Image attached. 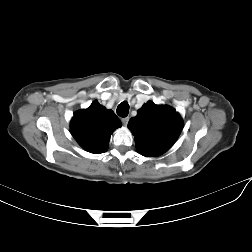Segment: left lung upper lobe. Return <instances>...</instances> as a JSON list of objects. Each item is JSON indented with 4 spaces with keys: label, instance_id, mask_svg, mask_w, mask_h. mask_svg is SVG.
I'll return each instance as SVG.
<instances>
[{
    "label": "left lung upper lobe",
    "instance_id": "left-lung-upper-lobe-1",
    "mask_svg": "<svg viewBox=\"0 0 252 252\" xmlns=\"http://www.w3.org/2000/svg\"><path fill=\"white\" fill-rule=\"evenodd\" d=\"M128 128L135 136L137 152L156 157L172 147L183 129V121L174 108L148 101L129 120Z\"/></svg>",
    "mask_w": 252,
    "mask_h": 252
}]
</instances>
